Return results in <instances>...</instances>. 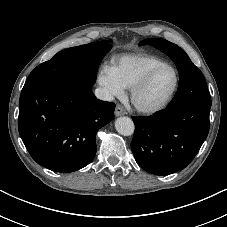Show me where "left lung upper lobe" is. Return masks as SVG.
Listing matches in <instances>:
<instances>
[{"label": "left lung upper lobe", "instance_id": "obj_1", "mask_svg": "<svg viewBox=\"0 0 227 227\" xmlns=\"http://www.w3.org/2000/svg\"><path fill=\"white\" fill-rule=\"evenodd\" d=\"M140 45H152L166 53L177 65L180 72L177 93L168 107L201 105L210 108L211 98L201 71L188 55L177 45L159 38L143 40Z\"/></svg>", "mask_w": 227, "mask_h": 227}]
</instances>
